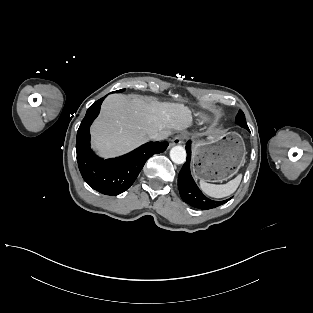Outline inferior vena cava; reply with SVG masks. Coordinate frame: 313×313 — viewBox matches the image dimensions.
I'll return each instance as SVG.
<instances>
[{
    "instance_id": "inferior-vena-cava-1",
    "label": "inferior vena cava",
    "mask_w": 313,
    "mask_h": 313,
    "mask_svg": "<svg viewBox=\"0 0 313 313\" xmlns=\"http://www.w3.org/2000/svg\"><path fill=\"white\" fill-rule=\"evenodd\" d=\"M149 138L152 139V140H157L158 141V140L164 139V135L161 134V133L156 132V133L150 134Z\"/></svg>"
}]
</instances>
